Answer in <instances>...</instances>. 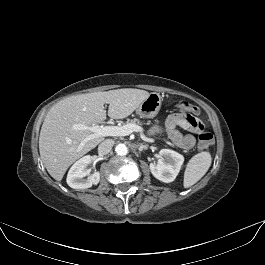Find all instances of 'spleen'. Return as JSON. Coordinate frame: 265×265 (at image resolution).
Here are the masks:
<instances>
[{"mask_svg":"<svg viewBox=\"0 0 265 265\" xmlns=\"http://www.w3.org/2000/svg\"><path fill=\"white\" fill-rule=\"evenodd\" d=\"M212 158L209 152H201L193 156L184 173V187L188 188L198 182L211 166Z\"/></svg>","mask_w":265,"mask_h":265,"instance_id":"spleen-1","label":"spleen"}]
</instances>
